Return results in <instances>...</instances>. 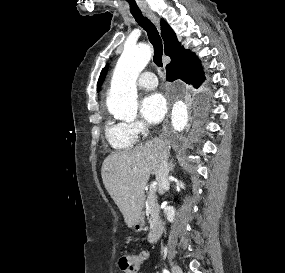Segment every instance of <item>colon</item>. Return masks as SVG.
Instances as JSON below:
<instances>
[{"mask_svg":"<svg viewBox=\"0 0 285 273\" xmlns=\"http://www.w3.org/2000/svg\"><path fill=\"white\" fill-rule=\"evenodd\" d=\"M146 257V252H139L121 257L119 260V266L122 273H137Z\"/></svg>","mask_w":285,"mask_h":273,"instance_id":"1","label":"colon"}]
</instances>
